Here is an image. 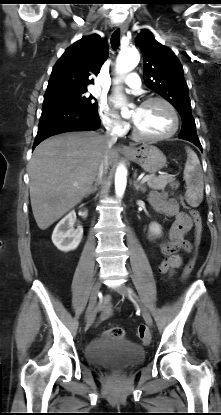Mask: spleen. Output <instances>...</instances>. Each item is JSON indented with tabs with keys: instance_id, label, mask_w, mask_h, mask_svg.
Wrapping results in <instances>:
<instances>
[{
	"instance_id": "3e777b00",
	"label": "spleen",
	"mask_w": 221,
	"mask_h": 415,
	"mask_svg": "<svg viewBox=\"0 0 221 415\" xmlns=\"http://www.w3.org/2000/svg\"><path fill=\"white\" fill-rule=\"evenodd\" d=\"M186 181V200L188 204L197 207L203 200V173L200 161L194 151L187 148V161L184 168Z\"/></svg>"
}]
</instances>
